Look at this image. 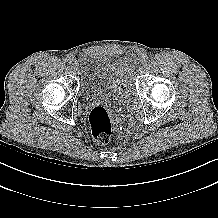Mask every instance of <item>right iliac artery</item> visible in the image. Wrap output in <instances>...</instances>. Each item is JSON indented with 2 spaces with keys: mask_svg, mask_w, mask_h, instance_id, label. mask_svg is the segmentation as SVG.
<instances>
[{
  "mask_svg": "<svg viewBox=\"0 0 218 218\" xmlns=\"http://www.w3.org/2000/svg\"><path fill=\"white\" fill-rule=\"evenodd\" d=\"M65 63L67 64H70L71 61H72V58L70 56H67L65 59H64Z\"/></svg>",
  "mask_w": 218,
  "mask_h": 218,
  "instance_id": "obj_1",
  "label": "right iliac artery"
}]
</instances>
